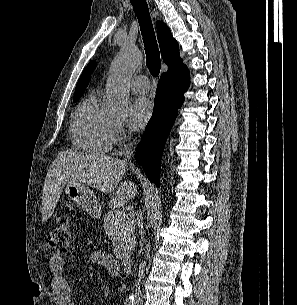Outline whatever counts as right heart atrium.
<instances>
[{
  "label": "right heart atrium",
  "instance_id": "d8ad5b80",
  "mask_svg": "<svg viewBox=\"0 0 297 305\" xmlns=\"http://www.w3.org/2000/svg\"><path fill=\"white\" fill-rule=\"evenodd\" d=\"M114 134L118 138H125V139L128 138V134L125 131V129L117 122L114 123Z\"/></svg>",
  "mask_w": 297,
  "mask_h": 305
}]
</instances>
